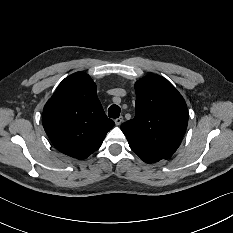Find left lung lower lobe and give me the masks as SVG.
<instances>
[{
	"label": "left lung lower lobe",
	"instance_id": "0a47b994",
	"mask_svg": "<svg viewBox=\"0 0 233 233\" xmlns=\"http://www.w3.org/2000/svg\"><path fill=\"white\" fill-rule=\"evenodd\" d=\"M143 161L147 162V163H153V162H157L159 160L153 158V157H150V156H147V155H138Z\"/></svg>",
	"mask_w": 233,
	"mask_h": 233
}]
</instances>
